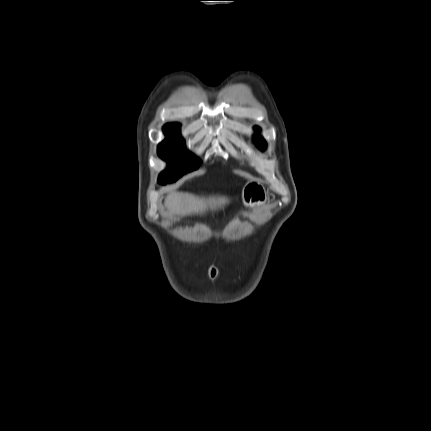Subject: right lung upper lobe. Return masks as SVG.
<instances>
[{
    "label": "right lung upper lobe",
    "mask_w": 431,
    "mask_h": 431,
    "mask_svg": "<svg viewBox=\"0 0 431 431\" xmlns=\"http://www.w3.org/2000/svg\"><path fill=\"white\" fill-rule=\"evenodd\" d=\"M164 129H169V130H180V125L178 123H170V124H166L164 126Z\"/></svg>",
    "instance_id": "right-lung-upper-lobe-1"
}]
</instances>
